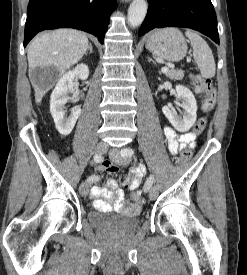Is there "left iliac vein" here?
Returning <instances> with one entry per match:
<instances>
[{"instance_id":"obj_1","label":"left iliac vein","mask_w":247,"mask_h":275,"mask_svg":"<svg viewBox=\"0 0 247 275\" xmlns=\"http://www.w3.org/2000/svg\"><path fill=\"white\" fill-rule=\"evenodd\" d=\"M129 149L130 148H128V147L121 149V151L117 150V149H112L109 152V156L115 163H117L119 165H125L128 161H127V159H125V157L122 156V151L129 150ZM156 196H157V189H156V187H152L149 191V197L151 199H154V198H156Z\"/></svg>"}]
</instances>
